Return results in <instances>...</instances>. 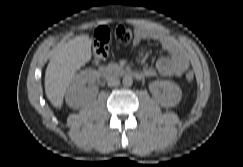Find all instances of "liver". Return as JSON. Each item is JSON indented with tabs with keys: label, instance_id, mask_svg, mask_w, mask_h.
Returning a JSON list of instances; mask_svg holds the SVG:
<instances>
[{
	"label": "liver",
	"instance_id": "liver-1",
	"mask_svg": "<svg viewBox=\"0 0 243 167\" xmlns=\"http://www.w3.org/2000/svg\"><path fill=\"white\" fill-rule=\"evenodd\" d=\"M92 40L83 34L56 49L45 72V93L51 104L60 109L66 89L76 72L91 59Z\"/></svg>",
	"mask_w": 243,
	"mask_h": 167
}]
</instances>
